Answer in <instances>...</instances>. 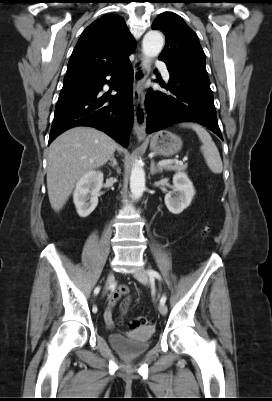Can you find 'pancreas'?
Masks as SVG:
<instances>
[{
	"label": "pancreas",
	"mask_w": 272,
	"mask_h": 401,
	"mask_svg": "<svg viewBox=\"0 0 272 401\" xmlns=\"http://www.w3.org/2000/svg\"><path fill=\"white\" fill-rule=\"evenodd\" d=\"M162 169H165L168 171L184 172L187 169V164H183V163H175L174 165L168 164V165L162 166Z\"/></svg>",
	"instance_id": "1"
}]
</instances>
